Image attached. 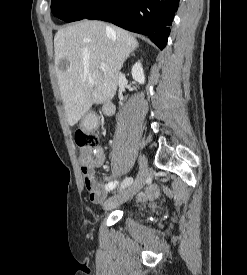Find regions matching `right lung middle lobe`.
I'll return each mask as SVG.
<instances>
[{"label": "right lung middle lobe", "instance_id": "right-lung-middle-lobe-1", "mask_svg": "<svg viewBox=\"0 0 247 275\" xmlns=\"http://www.w3.org/2000/svg\"><path fill=\"white\" fill-rule=\"evenodd\" d=\"M105 0H52L51 10L54 16L73 22L85 16Z\"/></svg>", "mask_w": 247, "mask_h": 275}]
</instances>
